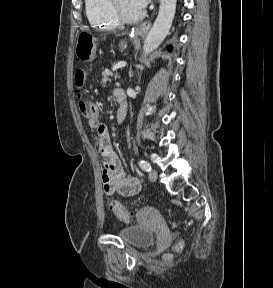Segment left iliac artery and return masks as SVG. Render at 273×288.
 I'll list each match as a JSON object with an SVG mask.
<instances>
[{
	"mask_svg": "<svg viewBox=\"0 0 273 288\" xmlns=\"http://www.w3.org/2000/svg\"><path fill=\"white\" fill-rule=\"evenodd\" d=\"M139 166L144 171H150L151 170V166H150V164L147 161L140 160L139 161Z\"/></svg>",
	"mask_w": 273,
	"mask_h": 288,
	"instance_id": "left-iliac-artery-1",
	"label": "left iliac artery"
}]
</instances>
